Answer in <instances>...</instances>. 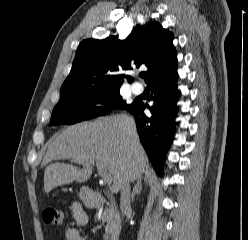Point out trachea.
I'll use <instances>...</instances> for the list:
<instances>
[{
  "mask_svg": "<svg viewBox=\"0 0 248 240\" xmlns=\"http://www.w3.org/2000/svg\"><path fill=\"white\" fill-rule=\"evenodd\" d=\"M140 76L142 78H147L148 77V73L147 72H142V73H140Z\"/></svg>",
  "mask_w": 248,
  "mask_h": 240,
  "instance_id": "1",
  "label": "trachea"
}]
</instances>
